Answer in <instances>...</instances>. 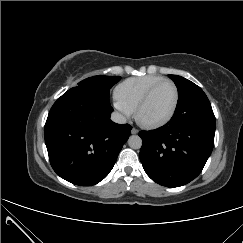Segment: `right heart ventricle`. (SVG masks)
Segmentation results:
<instances>
[{
  "label": "right heart ventricle",
  "instance_id": "e07e8e85",
  "mask_svg": "<svg viewBox=\"0 0 243 243\" xmlns=\"http://www.w3.org/2000/svg\"><path fill=\"white\" fill-rule=\"evenodd\" d=\"M163 79L165 78L160 75H143L128 78L116 86L114 96L130 112H134L144 94L154 84Z\"/></svg>",
  "mask_w": 243,
  "mask_h": 243
}]
</instances>
